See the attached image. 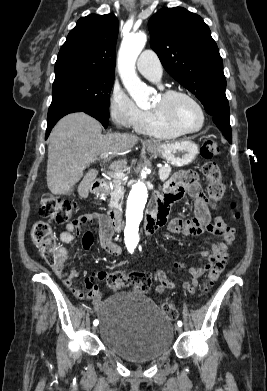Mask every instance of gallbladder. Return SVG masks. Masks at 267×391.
<instances>
[{"instance_id":"bac80fb5","label":"gallbladder","mask_w":267,"mask_h":391,"mask_svg":"<svg viewBox=\"0 0 267 391\" xmlns=\"http://www.w3.org/2000/svg\"><path fill=\"white\" fill-rule=\"evenodd\" d=\"M72 192H73V187H72L68 192H66L65 194L69 195V194H71Z\"/></svg>"}]
</instances>
